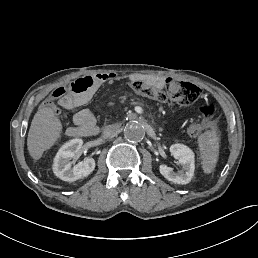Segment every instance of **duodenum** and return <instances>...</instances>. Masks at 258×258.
Returning a JSON list of instances; mask_svg holds the SVG:
<instances>
[{"label": "duodenum", "mask_w": 258, "mask_h": 258, "mask_svg": "<svg viewBox=\"0 0 258 258\" xmlns=\"http://www.w3.org/2000/svg\"><path fill=\"white\" fill-rule=\"evenodd\" d=\"M114 77L113 74H97V75H93L91 78L94 82L101 84L107 80H110ZM77 136H87V134L83 131H79L76 134Z\"/></svg>", "instance_id": "duodenum-1"}]
</instances>
